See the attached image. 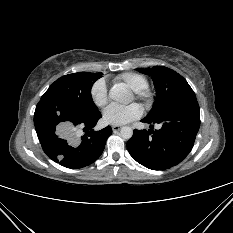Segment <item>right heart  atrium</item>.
Listing matches in <instances>:
<instances>
[{"label": "right heart atrium", "instance_id": "right-heart-atrium-1", "mask_svg": "<svg viewBox=\"0 0 233 233\" xmlns=\"http://www.w3.org/2000/svg\"><path fill=\"white\" fill-rule=\"evenodd\" d=\"M90 97L95 106L104 107L108 101V93L105 83L102 80L96 81L90 90Z\"/></svg>", "mask_w": 233, "mask_h": 233}]
</instances>
